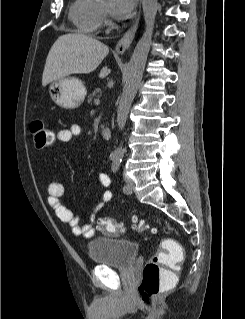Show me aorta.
<instances>
[{
  "label": "aorta",
  "mask_w": 245,
  "mask_h": 319,
  "mask_svg": "<svg viewBox=\"0 0 245 319\" xmlns=\"http://www.w3.org/2000/svg\"><path fill=\"white\" fill-rule=\"evenodd\" d=\"M142 8L145 20V31L138 41L132 54L128 66L126 81L117 109V124L119 130L121 131L125 127L131 104L138 91L148 53L152 44V35L158 9V0H142ZM123 156L124 149L122 146L117 147L112 154L113 159L116 161H120Z\"/></svg>",
  "instance_id": "obj_1"
}]
</instances>
